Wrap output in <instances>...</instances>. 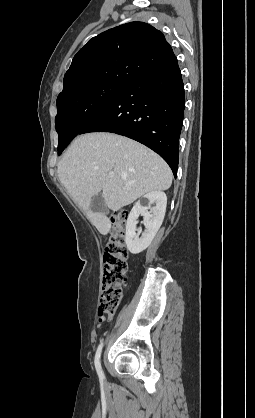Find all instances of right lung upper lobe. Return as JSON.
<instances>
[{
  "mask_svg": "<svg viewBox=\"0 0 255 418\" xmlns=\"http://www.w3.org/2000/svg\"><path fill=\"white\" fill-rule=\"evenodd\" d=\"M175 63L177 58L162 32L144 22L126 23L93 37L80 49L59 95L97 81L130 84Z\"/></svg>",
  "mask_w": 255,
  "mask_h": 418,
  "instance_id": "obj_1",
  "label": "right lung upper lobe"
}]
</instances>
